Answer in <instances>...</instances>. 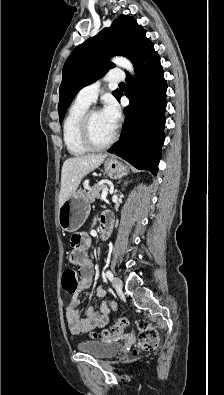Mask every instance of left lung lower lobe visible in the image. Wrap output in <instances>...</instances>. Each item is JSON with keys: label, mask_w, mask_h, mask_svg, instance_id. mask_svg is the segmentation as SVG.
<instances>
[{"label": "left lung lower lobe", "mask_w": 224, "mask_h": 395, "mask_svg": "<svg viewBox=\"0 0 224 395\" xmlns=\"http://www.w3.org/2000/svg\"><path fill=\"white\" fill-rule=\"evenodd\" d=\"M136 80L127 75L130 104L124 108L121 139L108 152L115 153L141 170L156 175L164 142L167 84L160 57L149 43L133 63ZM123 94L120 93L117 100Z\"/></svg>", "instance_id": "0a47b994"}]
</instances>
